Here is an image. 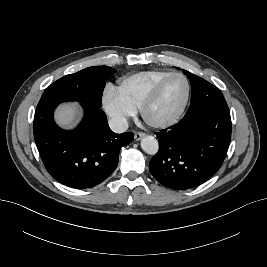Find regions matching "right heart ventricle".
<instances>
[{"mask_svg": "<svg viewBox=\"0 0 267 267\" xmlns=\"http://www.w3.org/2000/svg\"><path fill=\"white\" fill-rule=\"evenodd\" d=\"M170 71H143L120 79L116 91L121 99L135 111L140 109L142 103Z\"/></svg>", "mask_w": 267, "mask_h": 267, "instance_id": "obj_1", "label": "right heart ventricle"}]
</instances>
